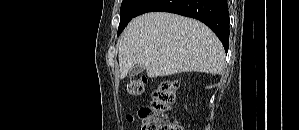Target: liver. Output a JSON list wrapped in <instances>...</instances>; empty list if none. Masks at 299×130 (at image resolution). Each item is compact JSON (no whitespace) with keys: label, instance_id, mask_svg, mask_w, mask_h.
Returning <instances> with one entry per match:
<instances>
[{"label":"liver","instance_id":"liver-1","mask_svg":"<svg viewBox=\"0 0 299 130\" xmlns=\"http://www.w3.org/2000/svg\"><path fill=\"white\" fill-rule=\"evenodd\" d=\"M120 78L138 64L150 78L181 72L220 74L225 52L203 23L166 12H150L131 20L119 43Z\"/></svg>","mask_w":299,"mask_h":130}]
</instances>
